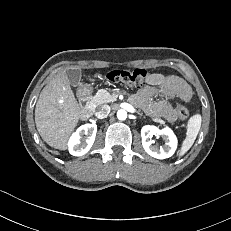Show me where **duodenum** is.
I'll return each mask as SVG.
<instances>
[{"label": "duodenum", "mask_w": 231, "mask_h": 231, "mask_svg": "<svg viewBox=\"0 0 231 231\" xmlns=\"http://www.w3.org/2000/svg\"><path fill=\"white\" fill-rule=\"evenodd\" d=\"M79 99L81 103L80 113L85 116L92 112L93 106L90 102V93L87 89L80 91Z\"/></svg>", "instance_id": "410a0bca"}]
</instances>
